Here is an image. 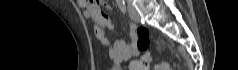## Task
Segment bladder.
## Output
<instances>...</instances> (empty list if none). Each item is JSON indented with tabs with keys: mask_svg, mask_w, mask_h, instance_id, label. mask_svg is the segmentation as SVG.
I'll return each mask as SVG.
<instances>
[{
	"mask_svg": "<svg viewBox=\"0 0 238 70\" xmlns=\"http://www.w3.org/2000/svg\"><path fill=\"white\" fill-rule=\"evenodd\" d=\"M111 70H123L121 67H112Z\"/></svg>",
	"mask_w": 238,
	"mask_h": 70,
	"instance_id": "1",
	"label": "bladder"
}]
</instances>
